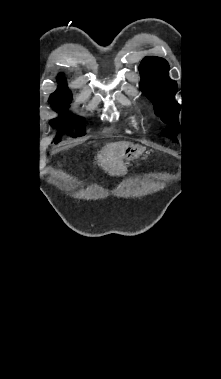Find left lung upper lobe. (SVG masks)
<instances>
[{
	"label": "left lung upper lobe",
	"instance_id": "obj_1",
	"mask_svg": "<svg viewBox=\"0 0 221 379\" xmlns=\"http://www.w3.org/2000/svg\"><path fill=\"white\" fill-rule=\"evenodd\" d=\"M141 74L140 89L153 102L156 115L172 126L165 129L167 137L176 140L179 133V104L175 101L177 83L168 76L169 65L160 57H145L139 67Z\"/></svg>",
	"mask_w": 221,
	"mask_h": 379
}]
</instances>
